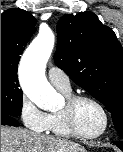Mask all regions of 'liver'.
Listing matches in <instances>:
<instances>
[{
  "label": "liver",
  "instance_id": "6515ba94",
  "mask_svg": "<svg viewBox=\"0 0 123 152\" xmlns=\"http://www.w3.org/2000/svg\"><path fill=\"white\" fill-rule=\"evenodd\" d=\"M1 152H86V149L67 139L1 126Z\"/></svg>",
  "mask_w": 123,
  "mask_h": 152
}]
</instances>
